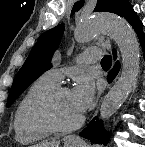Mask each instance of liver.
<instances>
[{
	"instance_id": "liver-1",
	"label": "liver",
	"mask_w": 145,
	"mask_h": 147,
	"mask_svg": "<svg viewBox=\"0 0 145 147\" xmlns=\"http://www.w3.org/2000/svg\"><path fill=\"white\" fill-rule=\"evenodd\" d=\"M60 142H42L40 144L35 145L34 147H59Z\"/></svg>"
}]
</instances>
